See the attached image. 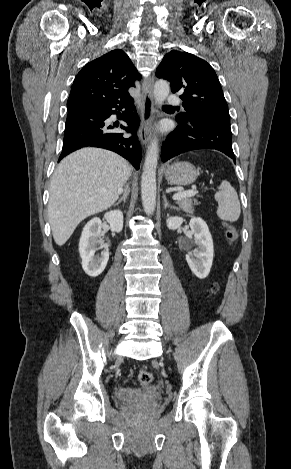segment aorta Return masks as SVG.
<instances>
[{
  "label": "aorta",
  "instance_id": "762f6f07",
  "mask_svg": "<svg viewBox=\"0 0 291 469\" xmlns=\"http://www.w3.org/2000/svg\"><path fill=\"white\" fill-rule=\"evenodd\" d=\"M170 92L169 84L164 80H158L154 86V98L158 105H161ZM158 143L154 137L148 146L143 173L141 177V198L144 212L152 215L156 207V168L158 163Z\"/></svg>",
  "mask_w": 291,
  "mask_h": 469
}]
</instances>
